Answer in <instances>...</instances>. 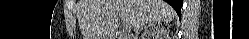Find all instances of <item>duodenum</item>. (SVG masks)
I'll use <instances>...</instances> for the list:
<instances>
[{
	"label": "duodenum",
	"mask_w": 249,
	"mask_h": 39,
	"mask_svg": "<svg viewBox=\"0 0 249 39\" xmlns=\"http://www.w3.org/2000/svg\"><path fill=\"white\" fill-rule=\"evenodd\" d=\"M115 39H123L122 35L121 34H117L114 36Z\"/></svg>",
	"instance_id": "obj_1"
}]
</instances>
